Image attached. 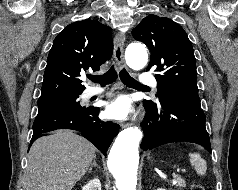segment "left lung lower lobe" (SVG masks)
I'll return each instance as SVG.
<instances>
[{"label":"left lung lower lobe","instance_id":"1","mask_svg":"<svg viewBox=\"0 0 238 190\" xmlns=\"http://www.w3.org/2000/svg\"><path fill=\"white\" fill-rule=\"evenodd\" d=\"M146 115L141 127L143 150L172 142H190L211 152L200 99L192 96H165L159 103L143 101Z\"/></svg>","mask_w":238,"mask_h":190}]
</instances>
